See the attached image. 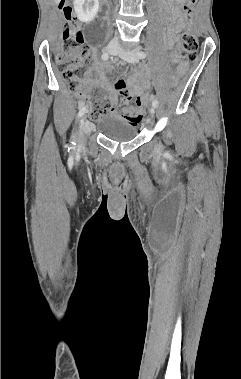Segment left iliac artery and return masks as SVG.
Segmentation results:
<instances>
[{
	"label": "left iliac artery",
	"instance_id": "left-iliac-artery-1",
	"mask_svg": "<svg viewBox=\"0 0 241 379\" xmlns=\"http://www.w3.org/2000/svg\"><path fill=\"white\" fill-rule=\"evenodd\" d=\"M137 55H138V57L139 58H141V59H143V58H145L146 57V53L145 52H143L142 50H137ZM153 98H154V100H153V102H152V105H153V107H157L158 106V101H157V99L153 96Z\"/></svg>",
	"mask_w": 241,
	"mask_h": 379
}]
</instances>
